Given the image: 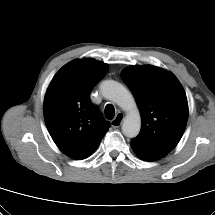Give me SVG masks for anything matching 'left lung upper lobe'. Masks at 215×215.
Returning <instances> with one entry per match:
<instances>
[{"mask_svg":"<svg viewBox=\"0 0 215 215\" xmlns=\"http://www.w3.org/2000/svg\"><path fill=\"white\" fill-rule=\"evenodd\" d=\"M121 77L135 97L142 120L131 147L163 158L186 127L188 103L183 87L172 73L152 65L128 67Z\"/></svg>","mask_w":215,"mask_h":215,"instance_id":"obj_1","label":"left lung upper lobe"}]
</instances>
